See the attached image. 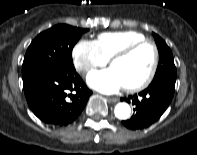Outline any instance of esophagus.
<instances>
[{"instance_id":"obj_1","label":"esophagus","mask_w":197,"mask_h":155,"mask_svg":"<svg viewBox=\"0 0 197 155\" xmlns=\"http://www.w3.org/2000/svg\"><path fill=\"white\" fill-rule=\"evenodd\" d=\"M106 99L109 101V102H118V98H114V97H106Z\"/></svg>"}]
</instances>
